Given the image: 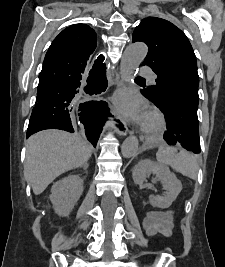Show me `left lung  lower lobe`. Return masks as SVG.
<instances>
[{
    "mask_svg": "<svg viewBox=\"0 0 225 267\" xmlns=\"http://www.w3.org/2000/svg\"><path fill=\"white\" fill-rule=\"evenodd\" d=\"M141 93L153 102L144 89ZM198 101V86L185 82L171 89L161 105L153 102L164 113L167 122L164 139L169 145L178 144L193 153H200Z\"/></svg>",
    "mask_w": 225,
    "mask_h": 267,
    "instance_id": "0a47b994",
    "label": "left lung lower lobe"
}]
</instances>
